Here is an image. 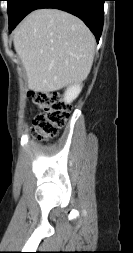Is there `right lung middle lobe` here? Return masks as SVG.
I'll list each match as a JSON object with an SVG mask.
<instances>
[{"label":"right lung middle lobe","instance_id":"dd1d6c3e","mask_svg":"<svg viewBox=\"0 0 133 253\" xmlns=\"http://www.w3.org/2000/svg\"><path fill=\"white\" fill-rule=\"evenodd\" d=\"M9 17V30L13 28L20 16V7L25 0H6Z\"/></svg>","mask_w":133,"mask_h":253}]
</instances>
